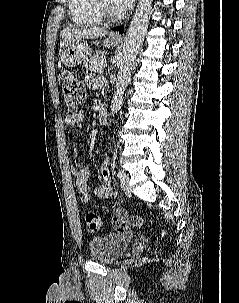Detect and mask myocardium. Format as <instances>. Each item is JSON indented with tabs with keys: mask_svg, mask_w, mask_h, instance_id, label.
I'll list each match as a JSON object with an SVG mask.
<instances>
[{
	"mask_svg": "<svg viewBox=\"0 0 239 303\" xmlns=\"http://www.w3.org/2000/svg\"><path fill=\"white\" fill-rule=\"evenodd\" d=\"M94 4V9L97 12V14L101 17V19L107 20V21H116L119 20L123 13L118 11H112L107 4L105 3V0H92Z\"/></svg>",
	"mask_w": 239,
	"mask_h": 303,
	"instance_id": "1",
	"label": "myocardium"
}]
</instances>
